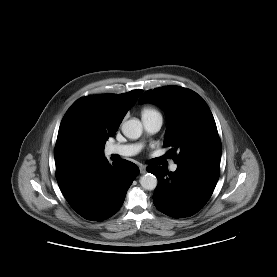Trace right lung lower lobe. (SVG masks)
I'll list each match as a JSON object with an SVG mask.
<instances>
[{"label":"right lung lower lobe","mask_w":277,"mask_h":277,"mask_svg":"<svg viewBox=\"0 0 277 277\" xmlns=\"http://www.w3.org/2000/svg\"><path fill=\"white\" fill-rule=\"evenodd\" d=\"M138 173V166L130 161L112 167L103 158L56 169V179L75 212L85 219L102 221L121 208Z\"/></svg>","instance_id":"1"}]
</instances>
